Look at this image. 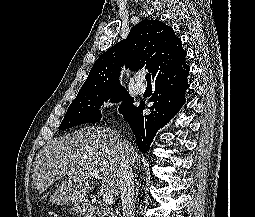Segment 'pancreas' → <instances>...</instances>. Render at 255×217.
I'll return each mask as SVG.
<instances>
[{
  "instance_id": "1",
  "label": "pancreas",
  "mask_w": 255,
  "mask_h": 217,
  "mask_svg": "<svg viewBox=\"0 0 255 217\" xmlns=\"http://www.w3.org/2000/svg\"><path fill=\"white\" fill-rule=\"evenodd\" d=\"M95 213L98 215V217H116L113 211H111L110 208L106 206H101L100 208H96Z\"/></svg>"
}]
</instances>
